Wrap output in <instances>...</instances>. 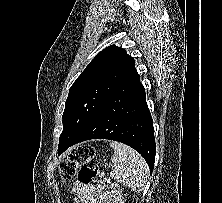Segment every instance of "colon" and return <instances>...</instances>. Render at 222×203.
<instances>
[{
  "label": "colon",
  "instance_id": "5ec220e1",
  "mask_svg": "<svg viewBox=\"0 0 222 203\" xmlns=\"http://www.w3.org/2000/svg\"><path fill=\"white\" fill-rule=\"evenodd\" d=\"M62 181L68 182L77 175L82 184H98L109 188L114 203H122L119 187L100 170L99 158L91 145H81L72 150L59 166Z\"/></svg>",
  "mask_w": 222,
  "mask_h": 203
}]
</instances>
